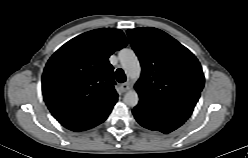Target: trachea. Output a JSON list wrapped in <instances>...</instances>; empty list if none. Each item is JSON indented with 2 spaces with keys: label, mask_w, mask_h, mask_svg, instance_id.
<instances>
[{
  "label": "trachea",
  "mask_w": 248,
  "mask_h": 158,
  "mask_svg": "<svg viewBox=\"0 0 248 158\" xmlns=\"http://www.w3.org/2000/svg\"><path fill=\"white\" fill-rule=\"evenodd\" d=\"M116 79L119 83H123L126 81V76L124 74V71L120 68L116 70Z\"/></svg>",
  "instance_id": "1"
}]
</instances>
